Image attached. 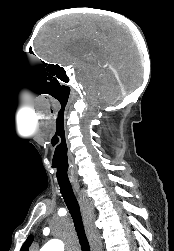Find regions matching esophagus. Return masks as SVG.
<instances>
[{
    "mask_svg": "<svg viewBox=\"0 0 174 251\" xmlns=\"http://www.w3.org/2000/svg\"><path fill=\"white\" fill-rule=\"evenodd\" d=\"M73 188L75 190V192L77 193L79 199H80V202L83 204L85 203L86 205V196L82 193V191L80 190V186L78 183H73ZM83 214L88 217V215L90 214V210L89 208L86 206L85 208L83 207Z\"/></svg>",
    "mask_w": 174,
    "mask_h": 251,
    "instance_id": "1",
    "label": "esophagus"
}]
</instances>
